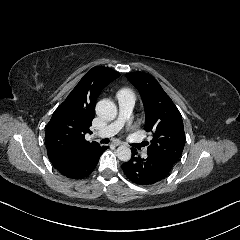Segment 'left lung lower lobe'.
Returning a JSON list of instances; mask_svg holds the SVG:
<instances>
[{
	"label": "left lung lower lobe",
	"mask_w": 240,
	"mask_h": 240,
	"mask_svg": "<svg viewBox=\"0 0 240 240\" xmlns=\"http://www.w3.org/2000/svg\"><path fill=\"white\" fill-rule=\"evenodd\" d=\"M131 159L122 165L126 177L137 185H152L163 180L171 171L173 165L168 164L157 155L148 153L146 159L137 156L132 148Z\"/></svg>",
	"instance_id": "0a47b994"
}]
</instances>
